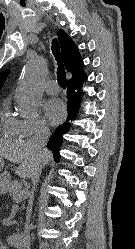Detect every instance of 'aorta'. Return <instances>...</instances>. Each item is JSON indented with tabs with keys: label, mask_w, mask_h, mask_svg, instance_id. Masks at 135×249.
<instances>
[{
	"label": "aorta",
	"mask_w": 135,
	"mask_h": 249,
	"mask_svg": "<svg viewBox=\"0 0 135 249\" xmlns=\"http://www.w3.org/2000/svg\"><path fill=\"white\" fill-rule=\"evenodd\" d=\"M47 63L42 57L30 60L24 67L16 99L19 108L28 115L38 112L42 100V83L47 76Z\"/></svg>",
	"instance_id": "1"
}]
</instances>
